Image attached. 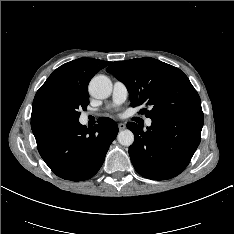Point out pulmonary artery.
Wrapping results in <instances>:
<instances>
[{"instance_id": "obj_1", "label": "pulmonary artery", "mask_w": 234, "mask_h": 234, "mask_svg": "<svg viewBox=\"0 0 234 234\" xmlns=\"http://www.w3.org/2000/svg\"><path fill=\"white\" fill-rule=\"evenodd\" d=\"M127 97H128V89L126 85L121 81H115L113 85V91H112L113 104L120 105L126 101ZM145 123L147 126H151L152 120L147 119Z\"/></svg>"}]
</instances>
